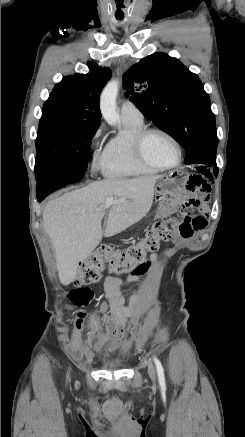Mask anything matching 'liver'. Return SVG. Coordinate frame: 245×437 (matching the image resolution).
<instances>
[{
    "mask_svg": "<svg viewBox=\"0 0 245 437\" xmlns=\"http://www.w3.org/2000/svg\"><path fill=\"white\" fill-rule=\"evenodd\" d=\"M159 178L106 179L67 192L46 204L43 227L52 241L63 285L75 279L79 263L91 254L103 236L119 234L147 215ZM110 197L124 202L111 205L103 230L104 203Z\"/></svg>",
    "mask_w": 245,
    "mask_h": 437,
    "instance_id": "6515ba94",
    "label": "liver"
}]
</instances>
